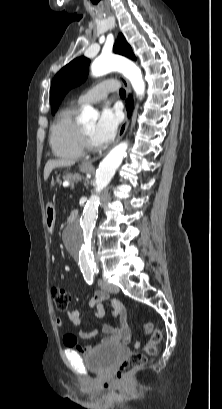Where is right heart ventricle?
I'll return each instance as SVG.
<instances>
[{
    "instance_id": "e07e8e85",
    "label": "right heart ventricle",
    "mask_w": 222,
    "mask_h": 409,
    "mask_svg": "<svg viewBox=\"0 0 222 409\" xmlns=\"http://www.w3.org/2000/svg\"><path fill=\"white\" fill-rule=\"evenodd\" d=\"M80 105H68L57 115L51 130L50 144L54 154L62 159L75 160L84 155L81 125L77 121Z\"/></svg>"
}]
</instances>
